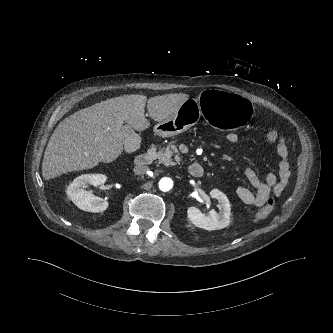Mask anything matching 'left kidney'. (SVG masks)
<instances>
[{
    "instance_id": "obj_1",
    "label": "left kidney",
    "mask_w": 333,
    "mask_h": 333,
    "mask_svg": "<svg viewBox=\"0 0 333 333\" xmlns=\"http://www.w3.org/2000/svg\"><path fill=\"white\" fill-rule=\"evenodd\" d=\"M210 194L212 198L218 200L221 213L218 214L212 209L208 215H205L196 207H189L187 210L188 219L196 227L209 231L225 228L230 223V202L227 196L218 189H213Z\"/></svg>"
}]
</instances>
